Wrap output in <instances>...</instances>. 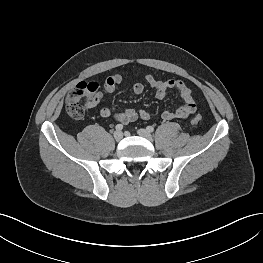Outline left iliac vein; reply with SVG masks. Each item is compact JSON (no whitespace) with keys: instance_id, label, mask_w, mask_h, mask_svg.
I'll list each match as a JSON object with an SVG mask.
<instances>
[{"instance_id":"obj_1","label":"left iliac vein","mask_w":263,"mask_h":263,"mask_svg":"<svg viewBox=\"0 0 263 263\" xmlns=\"http://www.w3.org/2000/svg\"><path fill=\"white\" fill-rule=\"evenodd\" d=\"M137 134L141 137L146 138L147 140H152V135L150 134V132L146 129H138L137 130Z\"/></svg>"}]
</instances>
